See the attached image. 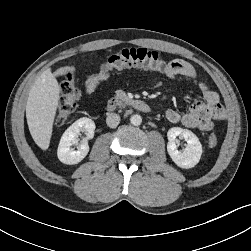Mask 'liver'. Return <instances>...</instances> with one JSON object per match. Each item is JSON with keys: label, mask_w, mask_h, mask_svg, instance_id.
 Wrapping results in <instances>:
<instances>
[{"label": "liver", "mask_w": 251, "mask_h": 251, "mask_svg": "<svg viewBox=\"0 0 251 251\" xmlns=\"http://www.w3.org/2000/svg\"><path fill=\"white\" fill-rule=\"evenodd\" d=\"M59 94V83L50 68L36 79L29 92L27 124L33 140L42 150H47L50 144Z\"/></svg>", "instance_id": "obj_1"}]
</instances>
